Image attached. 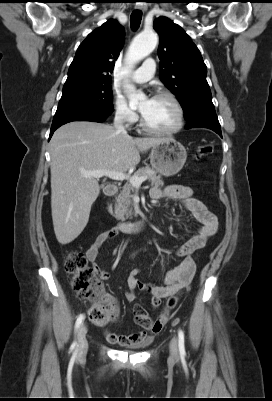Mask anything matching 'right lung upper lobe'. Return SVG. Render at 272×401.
Listing matches in <instances>:
<instances>
[{
  "label": "right lung upper lobe",
  "mask_w": 272,
  "mask_h": 401,
  "mask_svg": "<svg viewBox=\"0 0 272 401\" xmlns=\"http://www.w3.org/2000/svg\"><path fill=\"white\" fill-rule=\"evenodd\" d=\"M123 42L124 28L116 20H108L91 32L77 49L63 90L111 82Z\"/></svg>",
  "instance_id": "right-lung-upper-lobe-1"
}]
</instances>
